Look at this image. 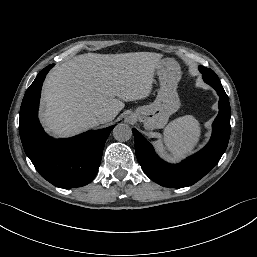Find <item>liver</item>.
Here are the masks:
<instances>
[{"label":"liver","instance_id":"liver-1","mask_svg":"<svg viewBox=\"0 0 257 257\" xmlns=\"http://www.w3.org/2000/svg\"><path fill=\"white\" fill-rule=\"evenodd\" d=\"M161 58L152 52L87 53L63 63L43 85V124L55 135L70 136L99 125L101 113H112L113 120L123 101L149 96Z\"/></svg>","mask_w":257,"mask_h":257}]
</instances>
